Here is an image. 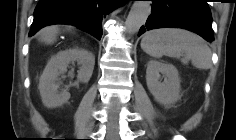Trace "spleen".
Segmentation results:
<instances>
[{"label":"spleen","mask_w":236,"mask_h":140,"mask_svg":"<svg viewBox=\"0 0 236 140\" xmlns=\"http://www.w3.org/2000/svg\"><path fill=\"white\" fill-rule=\"evenodd\" d=\"M141 48L148 55L178 58L184 64L191 61L198 69L211 67V50L198 35L183 29L163 28L147 32L141 40Z\"/></svg>","instance_id":"obj_1"}]
</instances>
